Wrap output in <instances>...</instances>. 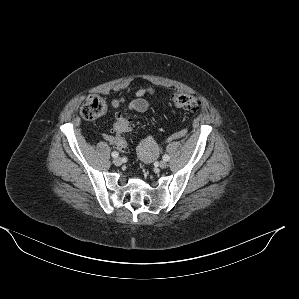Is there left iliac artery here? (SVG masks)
Listing matches in <instances>:
<instances>
[{
    "instance_id": "44dca946",
    "label": "left iliac artery",
    "mask_w": 299,
    "mask_h": 299,
    "mask_svg": "<svg viewBox=\"0 0 299 299\" xmlns=\"http://www.w3.org/2000/svg\"><path fill=\"white\" fill-rule=\"evenodd\" d=\"M169 159H170V157H169L168 155H164V156H163V160H164V161H169Z\"/></svg>"
}]
</instances>
